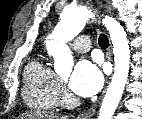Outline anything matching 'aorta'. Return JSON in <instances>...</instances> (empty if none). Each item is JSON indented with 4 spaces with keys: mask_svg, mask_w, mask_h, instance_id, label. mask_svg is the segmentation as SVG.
Listing matches in <instances>:
<instances>
[{
    "mask_svg": "<svg viewBox=\"0 0 142 119\" xmlns=\"http://www.w3.org/2000/svg\"><path fill=\"white\" fill-rule=\"evenodd\" d=\"M94 17L85 7L64 8L61 20L46 41L49 56L54 59L56 72L71 73L74 64L67 42L75 38ZM110 34L114 54V74L104 96L98 119H112L121 100L129 74L130 49L127 34L121 24L114 18L105 16L102 20Z\"/></svg>",
    "mask_w": 142,
    "mask_h": 119,
    "instance_id": "762f6f07",
    "label": "aorta"
}]
</instances>
